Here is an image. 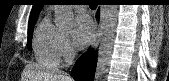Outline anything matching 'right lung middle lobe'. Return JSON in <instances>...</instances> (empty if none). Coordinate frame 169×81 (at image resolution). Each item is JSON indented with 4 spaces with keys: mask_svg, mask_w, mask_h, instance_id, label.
<instances>
[{
    "mask_svg": "<svg viewBox=\"0 0 169 81\" xmlns=\"http://www.w3.org/2000/svg\"><path fill=\"white\" fill-rule=\"evenodd\" d=\"M36 21L29 22L28 24V41H27V46L28 49L31 50V39H32V32H33V27L35 25Z\"/></svg>",
    "mask_w": 169,
    "mask_h": 81,
    "instance_id": "dd1d6c3e",
    "label": "right lung middle lobe"
}]
</instances>
